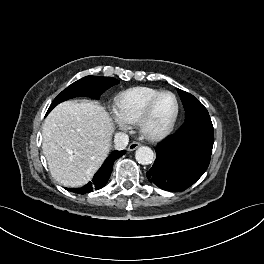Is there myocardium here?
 <instances>
[{
	"instance_id": "1",
	"label": "myocardium",
	"mask_w": 264,
	"mask_h": 264,
	"mask_svg": "<svg viewBox=\"0 0 264 264\" xmlns=\"http://www.w3.org/2000/svg\"><path fill=\"white\" fill-rule=\"evenodd\" d=\"M164 95H171L174 100H175V112L173 117L171 118V120L169 121V123L162 128L159 131H149L147 128V124L152 116L153 110L155 108L156 103L158 102V100L163 97ZM179 110H180V106H179V101L177 96L170 91H162L159 94H157L156 96H154L146 105L144 111L142 112L141 116L139 117L138 121H137V125H138V129L140 134L151 141H159L164 139L165 137H167L173 130L176 121L178 119V115H179Z\"/></svg>"
}]
</instances>
